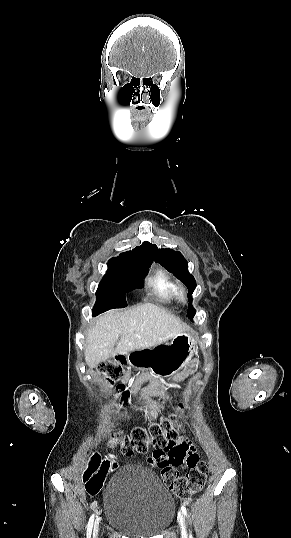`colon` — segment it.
<instances>
[{"label": "colon", "instance_id": "colon-1", "mask_svg": "<svg viewBox=\"0 0 291 538\" xmlns=\"http://www.w3.org/2000/svg\"><path fill=\"white\" fill-rule=\"evenodd\" d=\"M126 357L119 355L112 360L103 362L99 366L101 375L109 386L119 381L124 373ZM117 389L122 393L123 403L129 399V390L125 384H119ZM179 407H183L180 404ZM175 414L160 422H153L148 428L136 427L130 436L123 437L120 430H115L109 440V446H121L122 452L129 456L134 452L144 453L149 444H153L152 462L162 468V480L167 488L179 498H188L197 493L205 484L209 467L207 462L199 461L195 451L186 442L179 441V435L173 424ZM186 465L189 470L181 475L177 467ZM117 463L114 458L101 456L96 453L91 456L82 473V482L90 494L97 493L102 486L105 476L115 469Z\"/></svg>", "mask_w": 291, "mask_h": 538}]
</instances>
